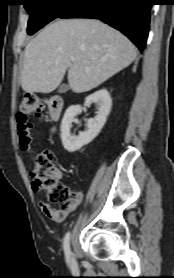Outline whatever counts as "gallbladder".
Here are the masks:
<instances>
[{"label":"gallbladder","instance_id":"obj_1","mask_svg":"<svg viewBox=\"0 0 174 278\" xmlns=\"http://www.w3.org/2000/svg\"><path fill=\"white\" fill-rule=\"evenodd\" d=\"M67 90H68V86H67L66 84H62V85L59 87L58 92L62 94V93H66Z\"/></svg>","mask_w":174,"mask_h":278}]
</instances>
